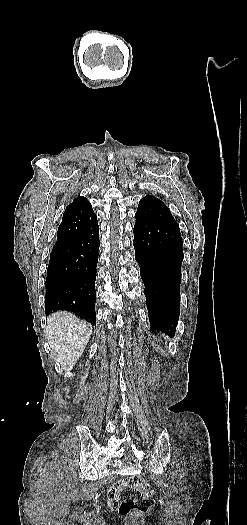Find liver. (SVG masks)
<instances>
[{
  "mask_svg": "<svg viewBox=\"0 0 247 525\" xmlns=\"http://www.w3.org/2000/svg\"><path fill=\"white\" fill-rule=\"evenodd\" d=\"M45 335L56 371L68 375L80 359L92 335V327L68 311H58L47 317Z\"/></svg>",
  "mask_w": 247,
  "mask_h": 525,
  "instance_id": "6515ba94",
  "label": "liver"
}]
</instances>
